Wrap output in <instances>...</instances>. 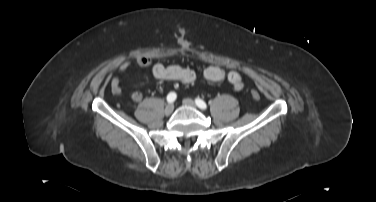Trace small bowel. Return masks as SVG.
Wrapping results in <instances>:
<instances>
[{"mask_svg":"<svg viewBox=\"0 0 376 202\" xmlns=\"http://www.w3.org/2000/svg\"><path fill=\"white\" fill-rule=\"evenodd\" d=\"M135 64L139 67H150L152 75L159 80L178 81L183 84H191L197 79L198 76H201L204 79L212 82H221L227 79L231 83L235 91L239 92L243 90V81L241 75L235 71H231L227 74L225 70L219 65H209L203 68L199 73H197L193 69L182 67L176 64H152L151 59L145 56L136 57ZM130 66L131 62L125 61L119 66L118 72L121 74L125 73L130 68ZM110 88L113 95H122L123 91L118 75H115L111 79ZM130 99L133 102H140L142 100V93L139 91H133L130 94Z\"/></svg>","mask_w":376,"mask_h":202,"instance_id":"c3829d8e","label":"small bowel"}]
</instances>
